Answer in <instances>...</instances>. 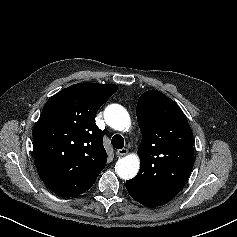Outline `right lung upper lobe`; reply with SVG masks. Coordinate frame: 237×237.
Instances as JSON below:
<instances>
[{
	"label": "right lung upper lobe",
	"mask_w": 237,
	"mask_h": 237,
	"mask_svg": "<svg viewBox=\"0 0 237 237\" xmlns=\"http://www.w3.org/2000/svg\"><path fill=\"white\" fill-rule=\"evenodd\" d=\"M116 90V85L79 83L44 105L33 132V153L40 178L54 193L74 197L89 190L105 167L103 132L94 120Z\"/></svg>",
	"instance_id": "cb5924a9"
}]
</instances>
